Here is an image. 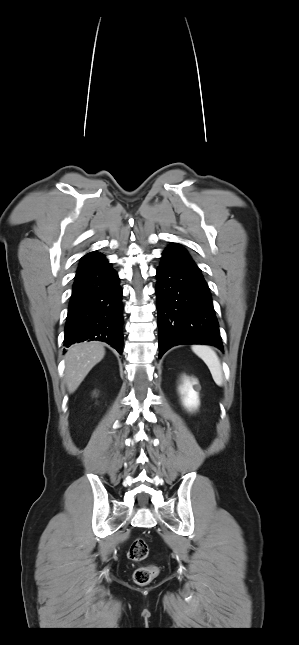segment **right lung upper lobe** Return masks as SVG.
I'll return each instance as SVG.
<instances>
[{
  "label": "right lung upper lobe",
  "instance_id": "cb5924a9",
  "mask_svg": "<svg viewBox=\"0 0 299 645\" xmlns=\"http://www.w3.org/2000/svg\"><path fill=\"white\" fill-rule=\"evenodd\" d=\"M102 256H103L102 254H98L96 251L90 252L81 258L79 266L88 264Z\"/></svg>",
  "mask_w": 299,
  "mask_h": 645
}]
</instances>
